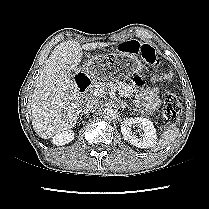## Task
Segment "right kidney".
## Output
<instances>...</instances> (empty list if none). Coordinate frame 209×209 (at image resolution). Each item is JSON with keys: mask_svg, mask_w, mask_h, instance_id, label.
Returning a JSON list of instances; mask_svg holds the SVG:
<instances>
[{"mask_svg": "<svg viewBox=\"0 0 209 209\" xmlns=\"http://www.w3.org/2000/svg\"><path fill=\"white\" fill-rule=\"evenodd\" d=\"M74 139V132L72 130H65L57 133L52 137L53 144L57 146L65 145Z\"/></svg>", "mask_w": 209, "mask_h": 209, "instance_id": "1", "label": "right kidney"}]
</instances>
